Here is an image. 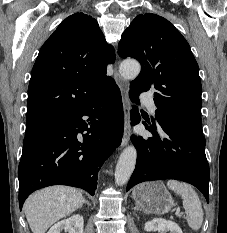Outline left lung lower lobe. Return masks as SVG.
Listing matches in <instances>:
<instances>
[{
  "label": "left lung lower lobe",
  "instance_id": "left-lung-lower-lobe-1",
  "mask_svg": "<svg viewBox=\"0 0 227 233\" xmlns=\"http://www.w3.org/2000/svg\"><path fill=\"white\" fill-rule=\"evenodd\" d=\"M139 93L130 90L129 97L139 104ZM131 125L140 122L136 106L130 112ZM157 126H147L153 137L131 136L137 149V163L126 191L138 183L152 180L176 179L197 187L209 201L210 170L205 155L204 136L167 118H159Z\"/></svg>",
  "mask_w": 227,
  "mask_h": 233
}]
</instances>
